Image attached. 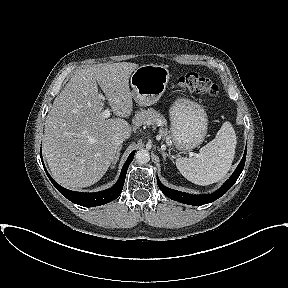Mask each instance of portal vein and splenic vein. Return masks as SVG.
Instances as JSON below:
<instances>
[{"instance_id": "18ae733b", "label": "portal vein and splenic vein", "mask_w": 288, "mask_h": 288, "mask_svg": "<svg viewBox=\"0 0 288 288\" xmlns=\"http://www.w3.org/2000/svg\"><path fill=\"white\" fill-rule=\"evenodd\" d=\"M101 98L104 100L105 98H104V96H102L101 95ZM111 111H110V109H105L103 112H102V117L104 118V119H107V118H109L110 117V115H111V113H110Z\"/></svg>"}]
</instances>
